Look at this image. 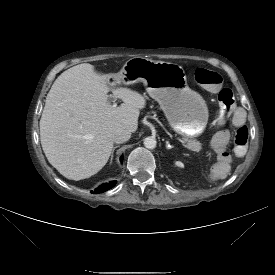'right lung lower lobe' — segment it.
Segmentation results:
<instances>
[{"instance_id":"right-lung-lower-lobe-1","label":"right lung lower lobe","mask_w":275,"mask_h":275,"mask_svg":"<svg viewBox=\"0 0 275 275\" xmlns=\"http://www.w3.org/2000/svg\"><path fill=\"white\" fill-rule=\"evenodd\" d=\"M123 157H121V161H122ZM117 181H112L110 183H106V184H102L100 187L96 188L95 191L92 193L97 194V193H102L105 192L109 189H111L112 187H114L116 185Z\"/></svg>"}]
</instances>
